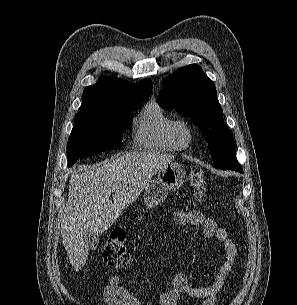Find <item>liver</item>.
<instances>
[{
	"mask_svg": "<svg viewBox=\"0 0 297 305\" xmlns=\"http://www.w3.org/2000/svg\"><path fill=\"white\" fill-rule=\"evenodd\" d=\"M174 156L160 152H130L105 160L84 173H72L61 236L75 271L86 263L89 249L83 234H101L114 224L161 168ZM113 193V201H110Z\"/></svg>",
	"mask_w": 297,
	"mask_h": 305,
	"instance_id": "1",
	"label": "liver"
}]
</instances>
